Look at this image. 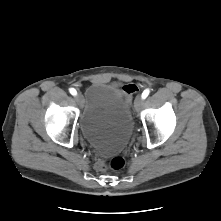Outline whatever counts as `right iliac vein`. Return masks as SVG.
<instances>
[{"label":"right iliac vein","instance_id":"1","mask_svg":"<svg viewBox=\"0 0 221 221\" xmlns=\"http://www.w3.org/2000/svg\"><path fill=\"white\" fill-rule=\"evenodd\" d=\"M75 100L81 106L83 104V96H82V94L78 93L77 95H75Z\"/></svg>","mask_w":221,"mask_h":221}]
</instances>
